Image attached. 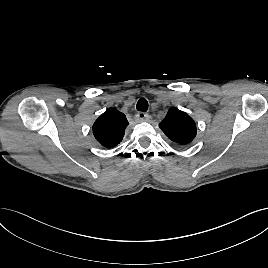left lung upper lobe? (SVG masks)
I'll use <instances>...</instances> for the list:
<instances>
[{
  "mask_svg": "<svg viewBox=\"0 0 268 268\" xmlns=\"http://www.w3.org/2000/svg\"><path fill=\"white\" fill-rule=\"evenodd\" d=\"M164 134L176 145H189L195 138L197 129L194 120L178 108H170L159 124Z\"/></svg>",
  "mask_w": 268,
  "mask_h": 268,
  "instance_id": "5c2ea615",
  "label": "left lung upper lobe"
}]
</instances>
